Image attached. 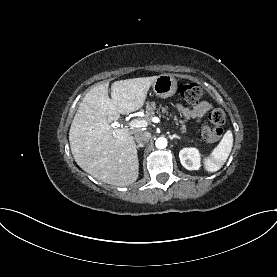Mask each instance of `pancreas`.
<instances>
[{
	"mask_svg": "<svg viewBox=\"0 0 277 277\" xmlns=\"http://www.w3.org/2000/svg\"><path fill=\"white\" fill-rule=\"evenodd\" d=\"M160 109H161L162 113L168 114L167 108L159 107L158 109H156V104L154 102L147 103L146 104V111H145L146 120L149 122L152 119V117L154 116L155 113L160 114ZM174 120L176 121L177 126L179 125V123L181 124V127H180L181 133H185L186 132V127H185L184 121L183 120H178L176 116H174Z\"/></svg>",
	"mask_w": 277,
	"mask_h": 277,
	"instance_id": "1",
	"label": "pancreas"
}]
</instances>
